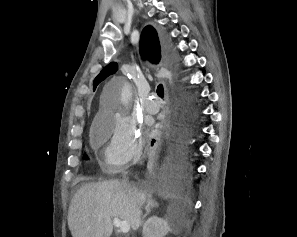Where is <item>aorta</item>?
<instances>
[{
	"label": "aorta",
	"instance_id": "obj_1",
	"mask_svg": "<svg viewBox=\"0 0 297 237\" xmlns=\"http://www.w3.org/2000/svg\"><path fill=\"white\" fill-rule=\"evenodd\" d=\"M131 97L130 87L128 85H125L122 89L121 93V101L123 104H127L128 100Z\"/></svg>",
	"mask_w": 297,
	"mask_h": 237
}]
</instances>
